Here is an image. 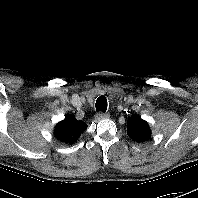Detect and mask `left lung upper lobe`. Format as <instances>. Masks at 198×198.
Masks as SVG:
<instances>
[{
    "label": "left lung upper lobe",
    "mask_w": 198,
    "mask_h": 198,
    "mask_svg": "<svg viewBox=\"0 0 198 198\" xmlns=\"http://www.w3.org/2000/svg\"><path fill=\"white\" fill-rule=\"evenodd\" d=\"M127 134L136 142H144L150 138L151 130L145 120L134 115L127 122Z\"/></svg>",
    "instance_id": "5c2ea615"
}]
</instances>
